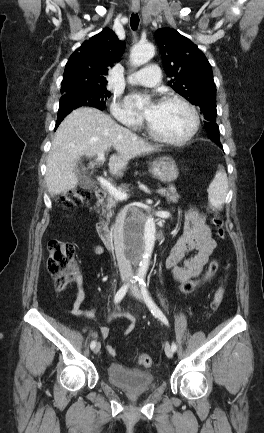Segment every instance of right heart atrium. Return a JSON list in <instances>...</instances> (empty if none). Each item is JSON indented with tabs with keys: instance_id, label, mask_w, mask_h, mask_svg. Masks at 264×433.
<instances>
[{
	"instance_id": "1",
	"label": "right heart atrium",
	"mask_w": 264,
	"mask_h": 433,
	"mask_svg": "<svg viewBox=\"0 0 264 433\" xmlns=\"http://www.w3.org/2000/svg\"><path fill=\"white\" fill-rule=\"evenodd\" d=\"M111 113L117 121L124 125L130 127H136L139 125V120L119 99L114 100L112 103Z\"/></svg>"
}]
</instances>
